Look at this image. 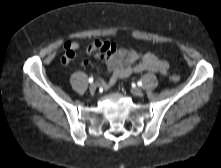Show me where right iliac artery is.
I'll use <instances>...</instances> for the list:
<instances>
[{"label": "right iliac artery", "instance_id": "obj_1", "mask_svg": "<svg viewBox=\"0 0 221 168\" xmlns=\"http://www.w3.org/2000/svg\"><path fill=\"white\" fill-rule=\"evenodd\" d=\"M89 83H92L93 82V78L91 77V78H89Z\"/></svg>", "mask_w": 221, "mask_h": 168}]
</instances>
